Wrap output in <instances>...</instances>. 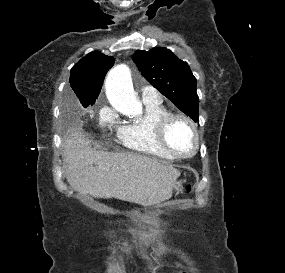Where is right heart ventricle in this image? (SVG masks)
<instances>
[{"instance_id":"e07e8e85","label":"right heart ventricle","mask_w":285,"mask_h":273,"mask_svg":"<svg viewBox=\"0 0 285 273\" xmlns=\"http://www.w3.org/2000/svg\"><path fill=\"white\" fill-rule=\"evenodd\" d=\"M145 112L136 120L126 122L117 129L119 142L126 148L162 158H176L160 143L157 127L159 121L170 111L162 101L144 102Z\"/></svg>"}]
</instances>
